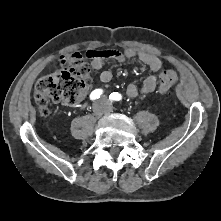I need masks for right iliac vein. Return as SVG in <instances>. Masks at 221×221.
Returning <instances> with one entry per match:
<instances>
[{
    "mask_svg": "<svg viewBox=\"0 0 221 221\" xmlns=\"http://www.w3.org/2000/svg\"><path fill=\"white\" fill-rule=\"evenodd\" d=\"M94 114H95V116H100V114H101L100 109L99 108H95L94 109Z\"/></svg>",
    "mask_w": 221,
    "mask_h": 221,
    "instance_id": "right-iliac-vein-1",
    "label": "right iliac vein"
}]
</instances>
